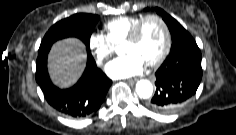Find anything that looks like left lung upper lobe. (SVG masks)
I'll use <instances>...</instances> for the list:
<instances>
[{
    "label": "left lung upper lobe",
    "mask_w": 236,
    "mask_h": 135,
    "mask_svg": "<svg viewBox=\"0 0 236 135\" xmlns=\"http://www.w3.org/2000/svg\"><path fill=\"white\" fill-rule=\"evenodd\" d=\"M147 10V9H145ZM158 14H160L163 18V20L166 22L170 32L172 30L176 29V26L179 24L173 17H171L169 14H167L162 9L156 8L155 9ZM183 28V27H182ZM183 37L181 39L172 37V46H171V52L174 51L178 46L183 45L187 42H195V40L192 38V36L183 28ZM172 35V33H171Z\"/></svg>",
    "instance_id": "1"
}]
</instances>
